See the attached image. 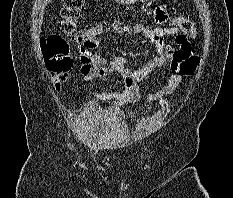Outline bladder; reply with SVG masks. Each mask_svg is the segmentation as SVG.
Returning <instances> with one entry per match:
<instances>
[{
  "label": "bladder",
  "instance_id": "1",
  "mask_svg": "<svg viewBox=\"0 0 233 198\" xmlns=\"http://www.w3.org/2000/svg\"><path fill=\"white\" fill-rule=\"evenodd\" d=\"M79 132L85 142L104 146L123 137L122 118L116 112L86 110L79 118Z\"/></svg>",
  "mask_w": 233,
  "mask_h": 198
}]
</instances>
